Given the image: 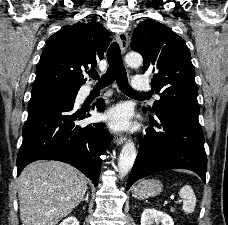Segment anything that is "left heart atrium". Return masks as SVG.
Here are the masks:
<instances>
[{"mask_svg":"<svg viewBox=\"0 0 228 225\" xmlns=\"http://www.w3.org/2000/svg\"><path fill=\"white\" fill-rule=\"evenodd\" d=\"M130 113L125 105H117L109 109L105 115L106 121L114 129H127L130 126Z\"/></svg>","mask_w":228,"mask_h":225,"instance_id":"obj_1","label":"left heart atrium"}]
</instances>
